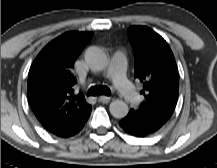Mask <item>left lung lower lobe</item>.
Masks as SVG:
<instances>
[{"mask_svg":"<svg viewBox=\"0 0 217 168\" xmlns=\"http://www.w3.org/2000/svg\"><path fill=\"white\" fill-rule=\"evenodd\" d=\"M121 128L135 137H145L159 131L165 124L157 120L142 117L136 111L131 110L119 122Z\"/></svg>","mask_w":217,"mask_h":168,"instance_id":"0a47b994","label":"left lung lower lobe"}]
</instances>
